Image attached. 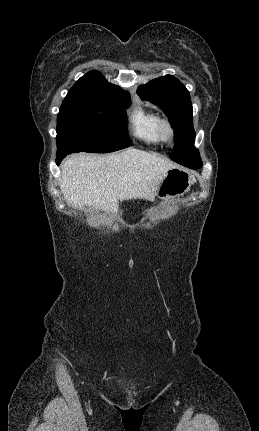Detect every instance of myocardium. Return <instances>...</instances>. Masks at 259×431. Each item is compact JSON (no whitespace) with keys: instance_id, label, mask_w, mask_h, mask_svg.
Instances as JSON below:
<instances>
[{"instance_id":"obj_1","label":"myocardium","mask_w":259,"mask_h":431,"mask_svg":"<svg viewBox=\"0 0 259 431\" xmlns=\"http://www.w3.org/2000/svg\"><path fill=\"white\" fill-rule=\"evenodd\" d=\"M158 136L161 141L169 142L174 137V128L171 122L166 118H161L158 123Z\"/></svg>"}]
</instances>
